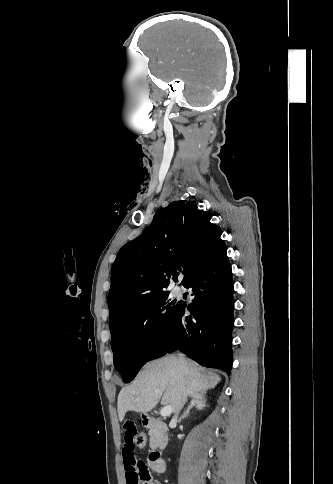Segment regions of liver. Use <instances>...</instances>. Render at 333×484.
<instances>
[{"mask_svg":"<svg viewBox=\"0 0 333 484\" xmlns=\"http://www.w3.org/2000/svg\"><path fill=\"white\" fill-rule=\"evenodd\" d=\"M183 367L176 356L147 363L135 380L118 395V416L122 422L128 411L148 413L159 402L179 411L187 396L214 388L219 375L205 371L197 363L186 360Z\"/></svg>","mask_w":333,"mask_h":484,"instance_id":"liver-1","label":"liver"}]
</instances>
